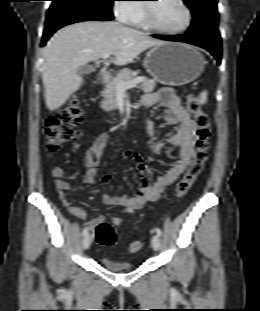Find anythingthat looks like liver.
Masks as SVG:
<instances>
[{
    "label": "liver",
    "mask_w": 260,
    "mask_h": 311,
    "mask_svg": "<svg viewBox=\"0 0 260 311\" xmlns=\"http://www.w3.org/2000/svg\"><path fill=\"white\" fill-rule=\"evenodd\" d=\"M148 34L114 21H84L55 33L44 49L42 74L47 108H60L83 81L78 69L104 54L124 66L150 47L165 44Z\"/></svg>",
    "instance_id": "1"
}]
</instances>
